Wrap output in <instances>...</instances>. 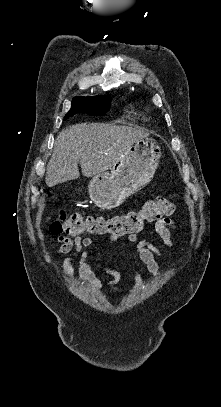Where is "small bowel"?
<instances>
[{
    "mask_svg": "<svg viewBox=\"0 0 221 407\" xmlns=\"http://www.w3.org/2000/svg\"><path fill=\"white\" fill-rule=\"evenodd\" d=\"M170 228H178V224L170 217L158 220L154 225V230L163 244L168 248H173L175 243ZM117 240L118 238L115 236L108 237V241L113 242ZM127 241L136 243L140 261L154 278H158L160 275V265L156 258L164 260V255L156 249L150 241L145 239L141 240L136 234H130L127 237ZM58 242L59 247L56 250V254L69 255L65 260L66 265L69 266L74 259L79 258L78 275L76 278L78 284L83 285L88 283L94 292L112 288L118 284L120 280L119 273L106 265L104 266V271L111 276V279L105 283L98 279L95 266L89 262L93 256L94 242L92 239L87 237L82 238L80 236L75 238L60 236L58 237ZM68 275L72 277L70 270H68ZM141 282L142 277L137 273L135 287H138Z\"/></svg>",
    "mask_w": 221,
    "mask_h": 407,
    "instance_id": "c3829d8e",
    "label": "small bowel"
}]
</instances>
